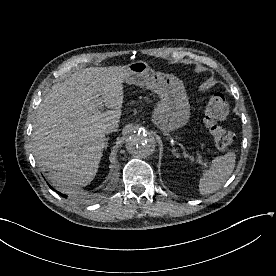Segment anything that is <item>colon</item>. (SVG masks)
Here are the masks:
<instances>
[{"label": "colon", "instance_id": "colon-1", "mask_svg": "<svg viewBox=\"0 0 276 276\" xmlns=\"http://www.w3.org/2000/svg\"><path fill=\"white\" fill-rule=\"evenodd\" d=\"M229 114V103L221 93L212 95L204 112V124L213 137L215 146L221 151L229 150L235 140L234 134L222 126Z\"/></svg>", "mask_w": 276, "mask_h": 276}]
</instances>
